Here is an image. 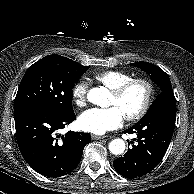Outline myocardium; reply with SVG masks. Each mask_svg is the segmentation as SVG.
I'll return each instance as SVG.
<instances>
[{
  "instance_id": "myocardium-1",
  "label": "myocardium",
  "mask_w": 194,
  "mask_h": 194,
  "mask_svg": "<svg viewBox=\"0 0 194 194\" xmlns=\"http://www.w3.org/2000/svg\"><path fill=\"white\" fill-rule=\"evenodd\" d=\"M135 84L143 85L145 88V91H146V95H145V99H144L142 106L135 113L124 116V118L127 121L139 120L149 110L152 99H153V95H154V86H153L152 82L146 78H132V79L122 83L118 87L111 90L112 95H114L117 98H120L127 92V90L131 86H133Z\"/></svg>"
}]
</instances>
